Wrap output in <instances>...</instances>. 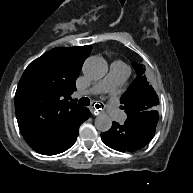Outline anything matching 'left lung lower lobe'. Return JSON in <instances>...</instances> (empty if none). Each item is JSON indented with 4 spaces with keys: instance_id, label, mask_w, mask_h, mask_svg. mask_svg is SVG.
<instances>
[{
    "instance_id": "obj_1",
    "label": "left lung lower lobe",
    "mask_w": 193,
    "mask_h": 193,
    "mask_svg": "<svg viewBox=\"0 0 193 193\" xmlns=\"http://www.w3.org/2000/svg\"><path fill=\"white\" fill-rule=\"evenodd\" d=\"M135 114L123 125L113 122L111 129L101 134L102 141L115 150L134 152L150 142L155 134L158 114Z\"/></svg>"
}]
</instances>
